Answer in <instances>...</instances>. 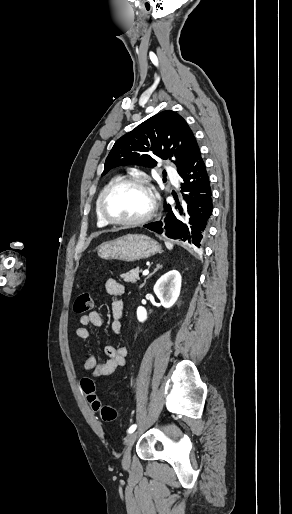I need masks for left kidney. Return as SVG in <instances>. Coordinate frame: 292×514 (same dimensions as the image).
Here are the masks:
<instances>
[{"mask_svg": "<svg viewBox=\"0 0 292 514\" xmlns=\"http://www.w3.org/2000/svg\"><path fill=\"white\" fill-rule=\"evenodd\" d=\"M181 290V276L177 270H171L157 280L154 286V292L159 298L164 308H171L179 298ZM137 318L139 322L147 320V310L143 306L137 308Z\"/></svg>", "mask_w": 292, "mask_h": 514, "instance_id": "obj_1", "label": "left kidney"}]
</instances>
